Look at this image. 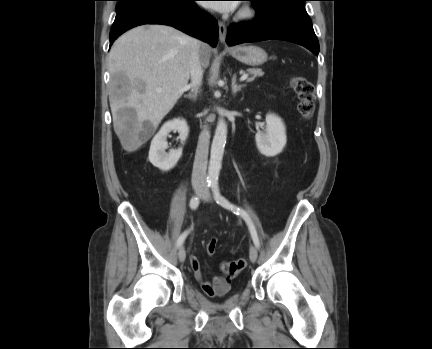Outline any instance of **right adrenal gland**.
I'll use <instances>...</instances> for the list:
<instances>
[{
    "mask_svg": "<svg viewBox=\"0 0 432 349\" xmlns=\"http://www.w3.org/2000/svg\"><path fill=\"white\" fill-rule=\"evenodd\" d=\"M184 97L189 98L193 101H195L197 99V91L194 89H191L190 93L184 95Z\"/></svg>",
    "mask_w": 432,
    "mask_h": 349,
    "instance_id": "1",
    "label": "right adrenal gland"
}]
</instances>
